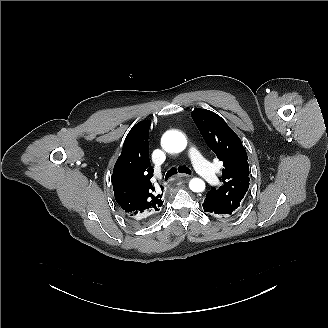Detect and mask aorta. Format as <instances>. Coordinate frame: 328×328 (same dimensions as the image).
Masks as SVG:
<instances>
[{
	"mask_svg": "<svg viewBox=\"0 0 328 328\" xmlns=\"http://www.w3.org/2000/svg\"><path fill=\"white\" fill-rule=\"evenodd\" d=\"M162 146L168 152L179 153L186 148L187 140L181 132L170 130L163 135ZM189 187L193 192H203L205 183L199 178H193L189 182Z\"/></svg>",
	"mask_w": 328,
	"mask_h": 328,
	"instance_id": "obj_1",
	"label": "aorta"
}]
</instances>
